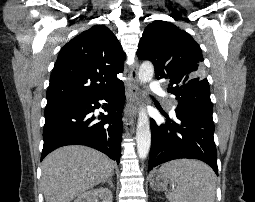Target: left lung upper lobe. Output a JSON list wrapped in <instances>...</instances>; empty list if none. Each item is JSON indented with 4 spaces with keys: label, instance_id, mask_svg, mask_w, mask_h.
Wrapping results in <instances>:
<instances>
[{
    "label": "left lung upper lobe",
    "instance_id": "1",
    "mask_svg": "<svg viewBox=\"0 0 255 202\" xmlns=\"http://www.w3.org/2000/svg\"><path fill=\"white\" fill-rule=\"evenodd\" d=\"M137 56L154 64L158 80L170 79L168 91L176 96V111L212 115L201 48L187 32L172 23L156 20L143 32Z\"/></svg>",
    "mask_w": 255,
    "mask_h": 202
}]
</instances>
